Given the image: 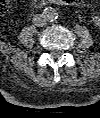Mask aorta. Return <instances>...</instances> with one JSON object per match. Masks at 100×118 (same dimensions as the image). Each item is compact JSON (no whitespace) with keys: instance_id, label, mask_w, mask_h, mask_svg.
Instances as JSON below:
<instances>
[{"instance_id":"1","label":"aorta","mask_w":100,"mask_h":118,"mask_svg":"<svg viewBox=\"0 0 100 118\" xmlns=\"http://www.w3.org/2000/svg\"><path fill=\"white\" fill-rule=\"evenodd\" d=\"M42 14L45 16L46 20L49 22H53L58 18L57 10L52 7L45 8Z\"/></svg>"}]
</instances>
